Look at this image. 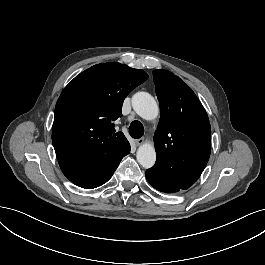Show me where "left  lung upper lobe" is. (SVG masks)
I'll return each mask as SVG.
<instances>
[{
	"instance_id": "left-lung-upper-lobe-1",
	"label": "left lung upper lobe",
	"mask_w": 265,
	"mask_h": 265,
	"mask_svg": "<svg viewBox=\"0 0 265 265\" xmlns=\"http://www.w3.org/2000/svg\"><path fill=\"white\" fill-rule=\"evenodd\" d=\"M160 104L154 134L157 160L149 170L177 185L190 188L203 172L211 152V127L201 102L178 76L153 71Z\"/></svg>"
}]
</instances>
